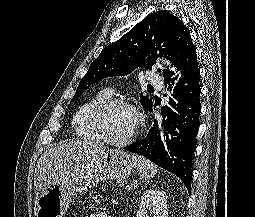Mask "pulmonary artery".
Here are the masks:
<instances>
[{
    "instance_id": "1",
    "label": "pulmonary artery",
    "mask_w": 255,
    "mask_h": 217,
    "mask_svg": "<svg viewBox=\"0 0 255 217\" xmlns=\"http://www.w3.org/2000/svg\"><path fill=\"white\" fill-rule=\"evenodd\" d=\"M148 80L149 82L153 85L156 86L158 88H161L163 85V80L160 76H157L155 74H149L148 75Z\"/></svg>"
}]
</instances>
